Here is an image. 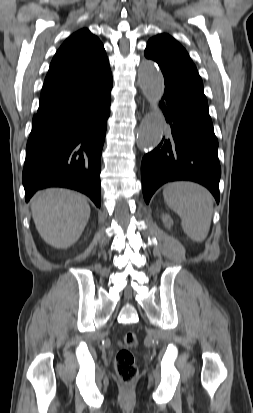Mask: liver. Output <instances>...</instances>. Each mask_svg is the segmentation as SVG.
Here are the masks:
<instances>
[{
    "instance_id": "6515ba94",
    "label": "liver",
    "mask_w": 253,
    "mask_h": 413,
    "mask_svg": "<svg viewBox=\"0 0 253 413\" xmlns=\"http://www.w3.org/2000/svg\"><path fill=\"white\" fill-rule=\"evenodd\" d=\"M31 209L38 233L57 249L71 247L90 217V206L83 195L60 188L38 192L31 201Z\"/></svg>"
}]
</instances>
